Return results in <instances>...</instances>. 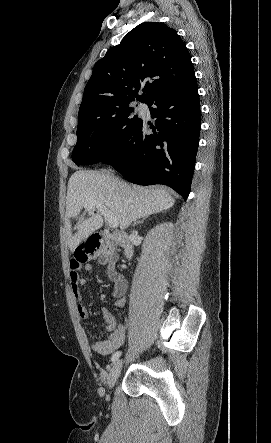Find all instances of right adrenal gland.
<instances>
[{"instance_id": "1", "label": "right adrenal gland", "mask_w": 271, "mask_h": 443, "mask_svg": "<svg viewBox=\"0 0 271 443\" xmlns=\"http://www.w3.org/2000/svg\"><path fill=\"white\" fill-rule=\"evenodd\" d=\"M145 218H148V216H143L142 220H137V222H134L133 225H138V223H143Z\"/></svg>"}]
</instances>
